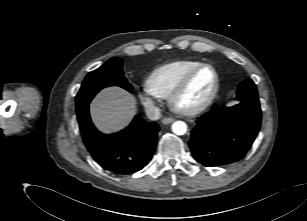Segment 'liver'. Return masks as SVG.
Returning a JSON list of instances; mask_svg holds the SVG:
<instances>
[{
  "instance_id": "liver-1",
  "label": "liver",
  "mask_w": 307,
  "mask_h": 221,
  "mask_svg": "<svg viewBox=\"0 0 307 221\" xmlns=\"http://www.w3.org/2000/svg\"><path fill=\"white\" fill-rule=\"evenodd\" d=\"M136 112L135 97L119 87L103 89L90 104L93 123L106 134L125 128Z\"/></svg>"
}]
</instances>
